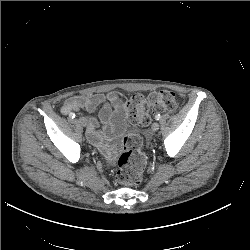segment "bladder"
Wrapping results in <instances>:
<instances>
[{"instance_id":"31cf9c89","label":"bladder","mask_w":250,"mask_h":250,"mask_svg":"<svg viewBox=\"0 0 250 250\" xmlns=\"http://www.w3.org/2000/svg\"><path fill=\"white\" fill-rule=\"evenodd\" d=\"M120 132L123 133V134L128 133L127 128L124 125H122L121 122H120Z\"/></svg>"}]
</instances>
